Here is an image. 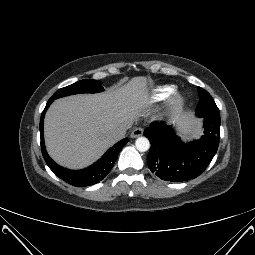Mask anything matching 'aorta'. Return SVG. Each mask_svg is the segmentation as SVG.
Returning <instances> with one entry per match:
<instances>
[{"instance_id":"aorta-1","label":"aorta","mask_w":255,"mask_h":255,"mask_svg":"<svg viewBox=\"0 0 255 255\" xmlns=\"http://www.w3.org/2000/svg\"><path fill=\"white\" fill-rule=\"evenodd\" d=\"M136 149L140 152H146L150 148V142L146 137H138L135 141Z\"/></svg>"}]
</instances>
